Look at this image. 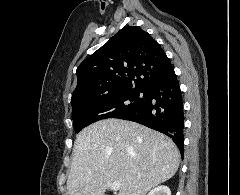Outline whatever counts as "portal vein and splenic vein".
Instances as JSON below:
<instances>
[{
  "label": "portal vein and splenic vein",
  "mask_w": 240,
  "mask_h": 195,
  "mask_svg": "<svg viewBox=\"0 0 240 195\" xmlns=\"http://www.w3.org/2000/svg\"><path fill=\"white\" fill-rule=\"evenodd\" d=\"M107 185L108 187H110V189H114V191H118L122 183H120V181H112V183H107Z\"/></svg>",
  "instance_id": "1"
}]
</instances>
